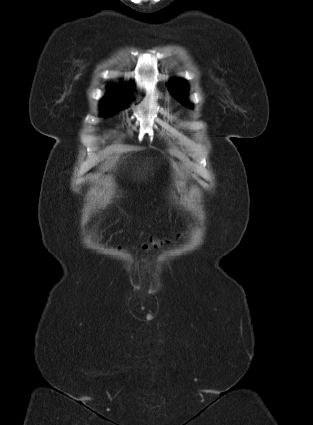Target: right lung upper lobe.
Returning <instances> with one entry per match:
<instances>
[{"instance_id":"1","label":"right lung upper lobe","mask_w":313,"mask_h":425,"mask_svg":"<svg viewBox=\"0 0 313 425\" xmlns=\"http://www.w3.org/2000/svg\"><path fill=\"white\" fill-rule=\"evenodd\" d=\"M129 88L130 87H128V89ZM125 92H126V89L123 91L122 89H118L113 86H108V93L106 97L102 99L101 102L118 101L125 104V101H126Z\"/></svg>"}]
</instances>
